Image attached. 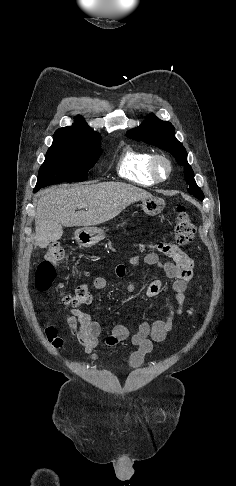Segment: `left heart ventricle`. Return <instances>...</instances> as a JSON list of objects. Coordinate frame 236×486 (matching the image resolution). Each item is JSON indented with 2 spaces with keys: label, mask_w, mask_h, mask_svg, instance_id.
<instances>
[{
  "label": "left heart ventricle",
  "mask_w": 236,
  "mask_h": 486,
  "mask_svg": "<svg viewBox=\"0 0 236 486\" xmlns=\"http://www.w3.org/2000/svg\"><path fill=\"white\" fill-rule=\"evenodd\" d=\"M158 170H159L160 175L164 176L166 174V171H167L165 164L160 163L159 166H158Z\"/></svg>",
  "instance_id": "left-heart-ventricle-1"
}]
</instances>
